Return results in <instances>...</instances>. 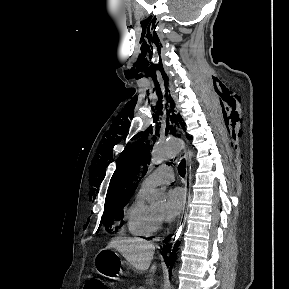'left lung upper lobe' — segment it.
<instances>
[{"instance_id": "5c2ea615", "label": "left lung upper lobe", "mask_w": 289, "mask_h": 289, "mask_svg": "<svg viewBox=\"0 0 289 289\" xmlns=\"http://www.w3.org/2000/svg\"><path fill=\"white\" fill-rule=\"evenodd\" d=\"M138 141L128 145L121 154L114 174V182L107 192L103 215V222L107 227H110L114 221L122 219V209L128 203L137 185L135 173L138 172L141 161L143 165L147 162L149 148L144 147V144L138 145ZM129 175L131 179L127 178Z\"/></svg>"}]
</instances>
